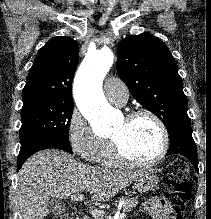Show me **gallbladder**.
Returning a JSON list of instances; mask_svg holds the SVG:
<instances>
[{
    "label": "gallbladder",
    "instance_id": "1",
    "mask_svg": "<svg viewBox=\"0 0 211 219\" xmlns=\"http://www.w3.org/2000/svg\"><path fill=\"white\" fill-rule=\"evenodd\" d=\"M47 207L49 212L54 215H61L66 210L65 206L60 201L54 198L47 203Z\"/></svg>",
    "mask_w": 211,
    "mask_h": 219
}]
</instances>
